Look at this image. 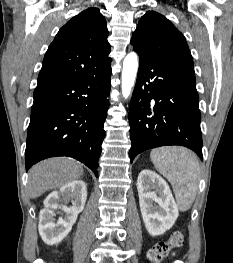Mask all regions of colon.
Segmentation results:
<instances>
[{
    "label": "colon",
    "mask_w": 233,
    "mask_h": 263,
    "mask_svg": "<svg viewBox=\"0 0 233 263\" xmlns=\"http://www.w3.org/2000/svg\"><path fill=\"white\" fill-rule=\"evenodd\" d=\"M184 238L183 232H174L168 240L158 242L153 246L148 253V259L151 263H160L170 251L182 246Z\"/></svg>",
    "instance_id": "obj_1"
}]
</instances>
